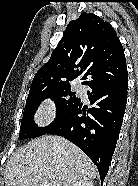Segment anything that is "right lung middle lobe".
<instances>
[{
	"instance_id": "obj_1",
	"label": "right lung middle lobe",
	"mask_w": 138,
	"mask_h": 186,
	"mask_svg": "<svg viewBox=\"0 0 138 186\" xmlns=\"http://www.w3.org/2000/svg\"><path fill=\"white\" fill-rule=\"evenodd\" d=\"M46 98H52L56 102L57 119L46 127H38L33 122L34 114L38 105ZM79 101L80 99L75 96V92L71 91L70 85L29 93L21 120L19 139L46 134L52 126L68 115Z\"/></svg>"
}]
</instances>
